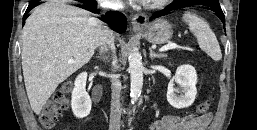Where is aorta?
Returning a JSON list of instances; mask_svg holds the SVG:
<instances>
[{
    "instance_id": "1",
    "label": "aorta",
    "mask_w": 257,
    "mask_h": 130,
    "mask_svg": "<svg viewBox=\"0 0 257 130\" xmlns=\"http://www.w3.org/2000/svg\"><path fill=\"white\" fill-rule=\"evenodd\" d=\"M129 73L131 81L132 103L138 99L143 86V63L142 56L138 51H132L128 56Z\"/></svg>"
}]
</instances>
